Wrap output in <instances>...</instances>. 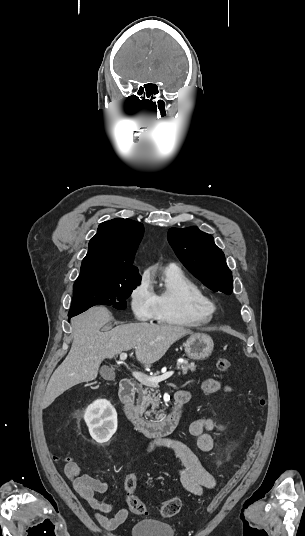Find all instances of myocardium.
Segmentation results:
<instances>
[{"mask_svg":"<svg viewBox=\"0 0 305 536\" xmlns=\"http://www.w3.org/2000/svg\"><path fill=\"white\" fill-rule=\"evenodd\" d=\"M203 313L210 319L213 320L216 314L219 311V304L218 302L211 298L206 296L205 300L201 304Z\"/></svg>","mask_w":305,"mask_h":536,"instance_id":"myocardium-1","label":"myocardium"}]
</instances>
